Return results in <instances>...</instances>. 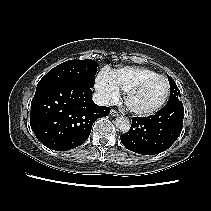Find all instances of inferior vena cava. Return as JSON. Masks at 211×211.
Segmentation results:
<instances>
[{
    "label": "inferior vena cava",
    "mask_w": 211,
    "mask_h": 211,
    "mask_svg": "<svg viewBox=\"0 0 211 211\" xmlns=\"http://www.w3.org/2000/svg\"><path fill=\"white\" fill-rule=\"evenodd\" d=\"M92 99H93L94 103L99 105V106L110 105L109 100L100 93H94L93 96H92Z\"/></svg>",
    "instance_id": "inferior-vena-cava-1"
}]
</instances>
